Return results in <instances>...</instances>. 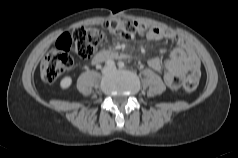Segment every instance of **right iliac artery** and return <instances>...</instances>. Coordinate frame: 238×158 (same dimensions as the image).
I'll return each mask as SVG.
<instances>
[{
	"label": "right iliac artery",
	"mask_w": 238,
	"mask_h": 158,
	"mask_svg": "<svg viewBox=\"0 0 238 158\" xmlns=\"http://www.w3.org/2000/svg\"><path fill=\"white\" fill-rule=\"evenodd\" d=\"M106 64H107L108 66H110V67L115 66V63H114L113 60H108V61L106 62Z\"/></svg>",
	"instance_id": "1"
}]
</instances>
